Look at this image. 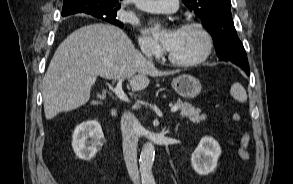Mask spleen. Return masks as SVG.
<instances>
[{
    "label": "spleen",
    "instance_id": "3e777b00",
    "mask_svg": "<svg viewBox=\"0 0 293 184\" xmlns=\"http://www.w3.org/2000/svg\"><path fill=\"white\" fill-rule=\"evenodd\" d=\"M230 93L234 99L239 102L247 101V93L244 87L240 83H234L230 89Z\"/></svg>",
    "mask_w": 293,
    "mask_h": 184
}]
</instances>
